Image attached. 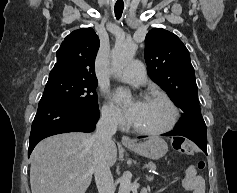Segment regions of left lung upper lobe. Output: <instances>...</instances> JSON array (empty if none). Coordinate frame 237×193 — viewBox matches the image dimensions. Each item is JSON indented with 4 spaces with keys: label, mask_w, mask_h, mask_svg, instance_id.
<instances>
[{
    "label": "left lung upper lobe",
    "mask_w": 237,
    "mask_h": 193,
    "mask_svg": "<svg viewBox=\"0 0 237 193\" xmlns=\"http://www.w3.org/2000/svg\"><path fill=\"white\" fill-rule=\"evenodd\" d=\"M145 60L150 78L182 110L174 129L207 135L198 103L194 68L183 42L167 30L154 28L145 38Z\"/></svg>",
    "instance_id": "1"
}]
</instances>
